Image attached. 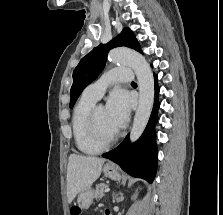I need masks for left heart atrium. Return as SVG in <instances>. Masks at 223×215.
I'll list each match as a JSON object with an SVG mask.
<instances>
[{
    "label": "left heart atrium",
    "instance_id": "1",
    "mask_svg": "<svg viewBox=\"0 0 223 215\" xmlns=\"http://www.w3.org/2000/svg\"><path fill=\"white\" fill-rule=\"evenodd\" d=\"M131 100L123 90H115L108 98L105 107L109 121L117 128H121L128 120Z\"/></svg>",
    "mask_w": 223,
    "mask_h": 215
}]
</instances>
